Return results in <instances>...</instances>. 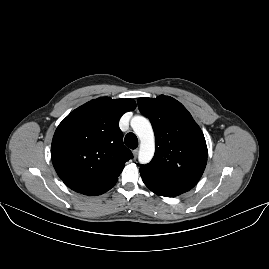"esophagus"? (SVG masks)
<instances>
[{
	"mask_svg": "<svg viewBox=\"0 0 269 269\" xmlns=\"http://www.w3.org/2000/svg\"><path fill=\"white\" fill-rule=\"evenodd\" d=\"M133 156H134V159L137 158V156H138V150L137 149L133 150Z\"/></svg>",
	"mask_w": 269,
	"mask_h": 269,
	"instance_id": "1",
	"label": "esophagus"
}]
</instances>
